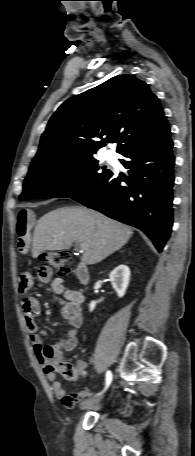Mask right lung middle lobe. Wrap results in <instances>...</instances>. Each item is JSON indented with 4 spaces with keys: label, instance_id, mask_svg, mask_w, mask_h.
<instances>
[{
    "label": "right lung middle lobe",
    "instance_id": "1",
    "mask_svg": "<svg viewBox=\"0 0 195 456\" xmlns=\"http://www.w3.org/2000/svg\"><path fill=\"white\" fill-rule=\"evenodd\" d=\"M112 172L94 155L60 158L29 168L21 200L42 197L75 198L98 186Z\"/></svg>",
    "mask_w": 195,
    "mask_h": 456
}]
</instances>
